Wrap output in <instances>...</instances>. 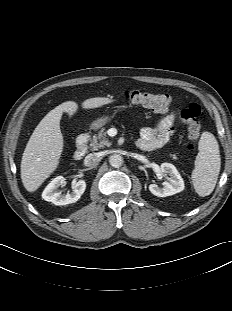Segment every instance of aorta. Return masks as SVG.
Listing matches in <instances>:
<instances>
[{
  "mask_svg": "<svg viewBox=\"0 0 232 311\" xmlns=\"http://www.w3.org/2000/svg\"><path fill=\"white\" fill-rule=\"evenodd\" d=\"M109 163L112 167H120L123 164V158L120 154H113L109 157Z\"/></svg>",
  "mask_w": 232,
  "mask_h": 311,
  "instance_id": "aorta-1",
  "label": "aorta"
}]
</instances>
